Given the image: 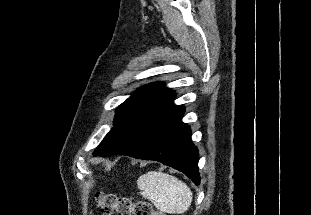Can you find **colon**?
<instances>
[{
    "label": "colon",
    "instance_id": "1",
    "mask_svg": "<svg viewBox=\"0 0 311 215\" xmlns=\"http://www.w3.org/2000/svg\"><path fill=\"white\" fill-rule=\"evenodd\" d=\"M95 201L102 215H165L147 201H133L126 196L96 192Z\"/></svg>",
    "mask_w": 311,
    "mask_h": 215
}]
</instances>
